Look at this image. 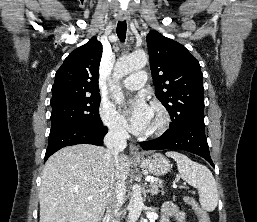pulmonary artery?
Segmentation results:
<instances>
[{
	"instance_id": "e3ab8cb5",
	"label": "pulmonary artery",
	"mask_w": 257,
	"mask_h": 222,
	"mask_svg": "<svg viewBox=\"0 0 257 222\" xmlns=\"http://www.w3.org/2000/svg\"><path fill=\"white\" fill-rule=\"evenodd\" d=\"M146 80V73L144 71H139L125 78L123 86L128 90H137L146 83Z\"/></svg>"
}]
</instances>
